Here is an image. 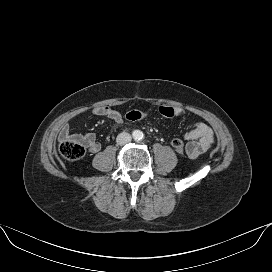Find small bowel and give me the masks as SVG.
<instances>
[{
  "label": "small bowel",
  "instance_id": "obj_1",
  "mask_svg": "<svg viewBox=\"0 0 272 272\" xmlns=\"http://www.w3.org/2000/svg\"><path fill=\"white\" fill-rule=\"evenodd\" d=\"M94 116H104L113 120L117 124H122L124 119L123 115L107 106L96 107L92 110ZM185 111L181 107L175 108V116L183 117ZM186 144V153L190 158H198L202 154L206 153L214 143V132L207 124L198 122L195 123L193 128L188 131L185 136ZM59 140L64 142L66 140H73L81 143L86 146L89 152L97 153L101 146L96 139V135L93 132L86 134H71L69 123L63 124L59 132Z\"/></svg>",
  "mask_w": 272,
  "mask_h": 272
}]
</instances>
